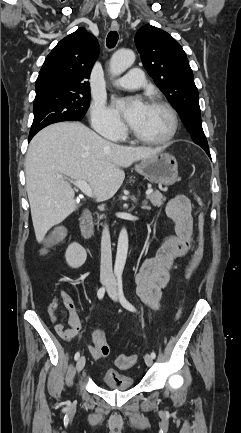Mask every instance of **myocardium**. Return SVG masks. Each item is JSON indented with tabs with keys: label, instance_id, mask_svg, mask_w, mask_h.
I'll use <instances>...</instances> for the list:
<instances>
[{
	"label": "myocardium",
	"instance_id": "f54148a6",
	"mask_svg": "<svg viewBox=\"0 0 241 433\" xmlns=\"http://www.w3.org/2000/svg\"><path fill=\"white\" fill-rule=\"evenodd\" d=\"M148 106H157V107H161L163 109H165L171 118V129L169 131V133L159 139H151V138H146L141 136L140 134H138L134 129L131 130V134L133 135V137L144 144H148V145H155V146H159V145H164L167 144L168 142H170L176 135L177 131H178V126H179V118H178V114L176 112V110L172 107L171 104H169L168 102L162 100V99H152L149 103Z\"/></svg>",
	"mask_w": 241,
	"mask_h": 433
}]
</instances>
